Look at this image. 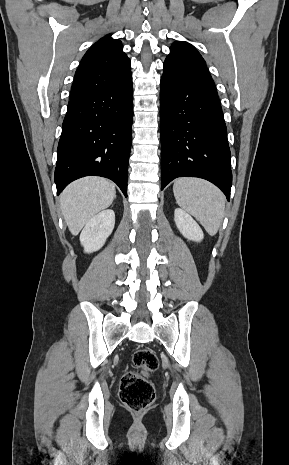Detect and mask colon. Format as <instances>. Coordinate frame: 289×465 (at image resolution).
<instances>
[{
	"label": "colon",
	"mask_w": 289,
	"mask_h": 465,
	"mask_svg": "<svg viewBox=\"0 0 289 465\" xmlns=\"http://www.w3.org/2000/svg\"><path fill=\"white\" fill-rule=\"evenodd\" d=\"M133 364L138 371L124 373L120 384V399L133 412H141L155 400V390L147 376L159 367V361L151 349L142 348L133 355Z\"/></svg>",
	"instance_id": "5ec220e1"
}]
</instances>
